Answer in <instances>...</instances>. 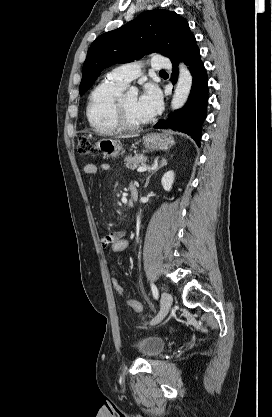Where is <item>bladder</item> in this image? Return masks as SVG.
<instances>
[{
	"mask_svg": "<svg viewBox=\"0 0 272 417\" xmlns=\"http://www.w3.org/2000/svg\"><path fill=\"white\" fill-rule=\"evenodd\" d=\"M135 348L144 358L151 359L162 353L165 341L159 337H145L136 342Z\"/></svg>",
	"mask_w": 272,
	"mask_h": 417,
	"instance_id": "31cf9c89",
	"label": "bladder"
}]
</instances>
